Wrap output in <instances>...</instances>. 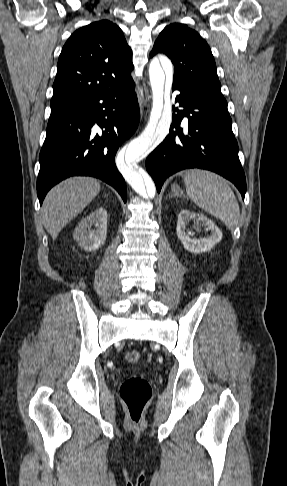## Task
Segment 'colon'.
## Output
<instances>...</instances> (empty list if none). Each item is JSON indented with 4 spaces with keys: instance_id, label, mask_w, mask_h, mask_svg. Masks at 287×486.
Wrapping results in <instances>:
<instances>
[{
    "instance_id": "5ec220e1",
    "label": "colon",
    "mask_w": 287,
    "mask_h": 486,
    "mask_svg": "<svg viewBox=\"0 0 287 486\" xmlns=\"http://www.w3.org/2000/svg\"><path fill=\"white\" fill-rule=\"evenodd\" d=\"M125 358L129 363H137L141 355L138 351L131 350L126 353ZM151 396V385L144 377L134 375L123 381L120 397L132 423L138 424L141 421Z\"/></svg>"
}]
</instances>
